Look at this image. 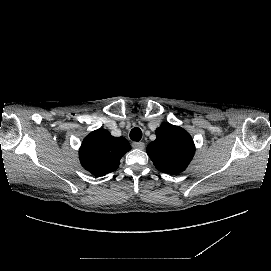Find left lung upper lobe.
<instances>
[{
	"label": "left lung upper lobe",
	"mask_w": 271,
	"mask_h": 271,
	"mask_svg": "<svg viewBox=\"0 0 271 271\" xmlns=\"http://www.w3.org/2000/svg\"><path fill=\"white\" fill-rule=\"evenodd\" d=\"M156 137L147 146V154L155 167L171 175L183 172L195 153L190 134L181 127L165 122L156 130Z\"/></svg>",
	"instance_id": "obj_1"
}]
</instances>
